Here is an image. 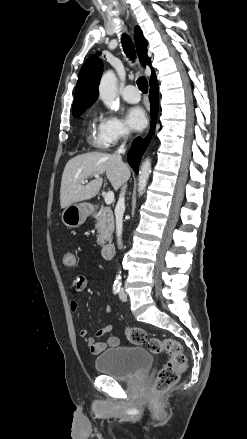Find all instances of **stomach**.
I'll return each instance as SVG.
<instances>
[{"instance_id":"obj_1","label":"stomach","mask_w":247,"mask_h":439,"mask_svg":"<svg viewBox=\"0 0 247 439\" xmlns=\"http://www.w3.org/2000/svg\"><path fill=\"white\" fill-rule=\"evenodd\" d=\"M90 212L87 203H74L67 206L62 213V222L69 228L81 226Z\"/></svg>"}]
</instances>
